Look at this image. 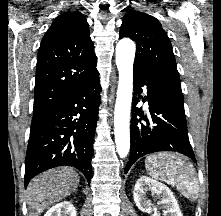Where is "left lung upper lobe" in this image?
I'll list each match as a JSON object with an SVG mask.
<instances>
[{
    "label": "left lung upper lobe",
    "instance_id": "5c2ea615",
    "mask_svg": "<svg viewBox=\"0 0 221 216\" xmlns=\"http://www.w3.org/2000/svg\"><path fill=\"white\" fill-rule=\"evenodd\" d=\"M119 37L136 42L134 66L153 76L183 113V93L171 42L160 22L146 13L130 10L123 18Z\"/></svg>",
    "mask_w": 221,
    "mask_h": 216
}]
</instances>
